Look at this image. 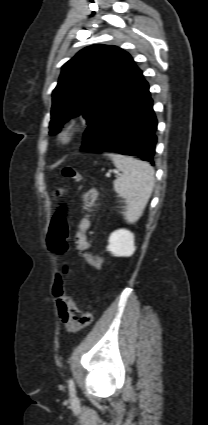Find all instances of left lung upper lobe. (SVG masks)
Returning <instances> with one entry per match:
<instances>
[{
  "instance_id": "left-lung-upper-lobe-1",
  "label": "left lung upper lobe",
  "mask_w": 208,
  "mask_h": 425,
  "mask_svg": "<svg viewBox=\"0 0 208 425\" xmlns=\"http://www.w3.org/2000/svg\"><path fill=\"white\" fill-rule=\"evenodd\" d=\"M141 70L132 57L116 46L92 45L65 63L52 94L50 134L82 115L90 125L104 106Z\"/></svg>"
}]
</instances>
